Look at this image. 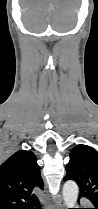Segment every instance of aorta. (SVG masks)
Here are the masks:
<instances>
[{"label": "aorta", "mask_w": 98, "mask_h": 209, "mask_svg": "<svg viewBox=\"0 0 98 209\" xmlns=\"http://www.w3.org/2000/svg\"><path fill=\"white\" fill-rule=\"evenodd\" d=\"M79 188L74 181H67L63 186V199L67 208H74L78 199Z\"/></svg>", "instance_id": "obj_1"}]
</instances>
